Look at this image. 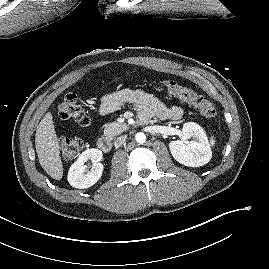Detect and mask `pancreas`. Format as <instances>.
<instances>
[{"label":"pancreas","mask_w":269,"mask_h":269,"mask_svg":"<svg viewBox=\"0 0 269 269\" xmlns=\"http://www.w3.org/2000/svg\"><path fill=\"white\" fill-rule=\"evenodd\" d=\"M128 129V125L126 123H117L112 122L107 124L104 129V135L108 138H113Z\"/></svg>","instance_id":"cf45deb5"}]
</instances>
